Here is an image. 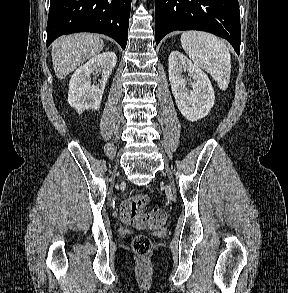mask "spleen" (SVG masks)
<instances>
[{
    "label": "spleen",
    "instance_id": "1",
    "mask_svg": "<svg viewBox=\"0 0 288 293\" xmlns=\"http://www.w3.org/2000/svg\"><path fill=\"white\" fill-rule=\"evenodd\" d=\"M181 44L190 59L207 71L226 90L231 76V57L226 44L218 37L201 31H187Z\"/></svg>",
    "mask_w": 288,
    "mask_h": 293
}]
</instances>
